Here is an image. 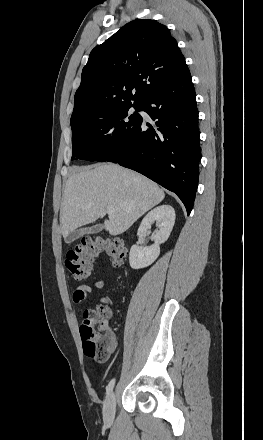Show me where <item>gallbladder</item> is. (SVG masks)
Here are the masks:
<instances>
[{"instance_id":"1","label":"gallbladder","mask_w":263,"mask_h":440,"mask_svg":"<svg viewBox=\"0 0 263 440\" xmlns=\"http://www.w3.org/2000/svg\"><path fill=\"white\" fill-rule=\"evenodd\" d=\"M103 229V225L98 224V225H94L88 228H82L76 231L71 232L66 238H65V242L67 244H71L72 242H74L75 240H77L78 238L82 237L85 234H95L100 232Z\"/></svg>"}]
</instances>
